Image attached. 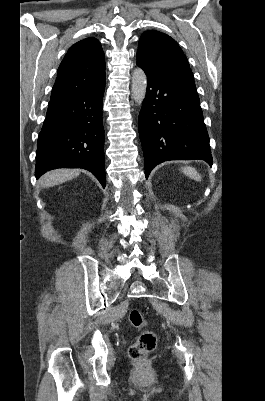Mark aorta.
<instances>
[{"mask_svg": "<svg viewBox=\"0 0 265 401\" xmlns=\"http://www.w3.org/2000/svg\"><path fill=\"white\" fill-rule=\"evenodd\" d=\"M147 88V76L142 68H135L132 74V98L135 102H142Z\"/></svg>", "mask_w": 265, "mask_h": 401, "instance_id": "obj_1", "label": "aorta"}]
</instances>
